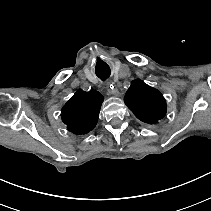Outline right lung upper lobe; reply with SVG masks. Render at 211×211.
Segmentation results:
<instances>
[{"label":"right lung upper lobe","instance_id":"1","mask_svg":"<svg viewBox=\"0 0 211 211\" xmlns=\"http://www.w3.org/2000/svg\"><path fill=\"white\" fill-rule=\"evenodd\" d=\"M104 97L91 90H78L62 108V120L67 129L75 134L90 132L98 121Z\"/></svg>","mask_w":211,"mask_h":211}]
</instances>
